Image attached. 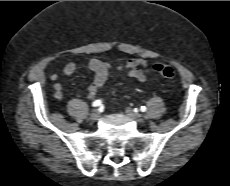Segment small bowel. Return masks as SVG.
<instances>
[{
  "instance_id": "small-bowel-1",
  "label": "small bowel",
  "mask_w": 230,
  "mask_h": 186,
  "mask_svg": "<svg viewBox=\"0 0 230 186\" xmlns=\"http://www.w3.org/2000/svg\"><path fill=\"white\" fill-rule=\"evenodd\" d=\"M89 69L94 73V80L92 84L87 87V96L93 98L97 92L104 86L107 81L110 65L96 57H93L88 62ZM77 69V64L75 62H68L63 68V74L66 76L72 75ZM118 70H125L129 77L135 78L141 82L147 80L148 75V64L146 60L141 58H133L121 63ZM52 81H55L54 96L57 99H62L64 96L62 85L57 82L59 76L57 73H52L50 75Z\"/></svg>"
}]
</instances>
